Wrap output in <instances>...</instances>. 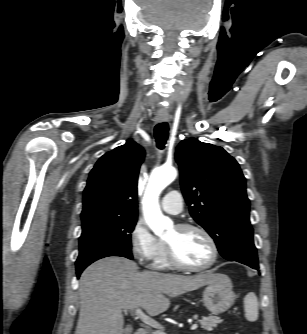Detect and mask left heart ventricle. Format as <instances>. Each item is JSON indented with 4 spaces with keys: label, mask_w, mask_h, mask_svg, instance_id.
Wrapping results in <instances>:
<instances>
[{
    "label": "left heart ventricle",
    "mask_w": 307,
    "mask_h": 334,
    "mask_svg": "<svg viewBox=\"0 0 307 334\" xmlns=\"http://www.w3.org/2000/svg\"><path fill=\"white\" fill-rule=\"evenodd\" d=\"M164 240L173 247L179 259L188 265L200 266L211 258L208 241L196 230H179L174 227Z\"/></svg>",
    "instance_id": "obj_1"
}]
</instances>
